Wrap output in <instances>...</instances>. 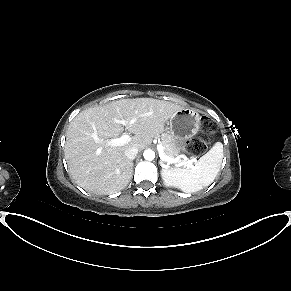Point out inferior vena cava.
Returning a JSON list of instances; mask_svg holds the SVG:
<instances>
[{"label": "inferior vena cava", "mask_w": 291, "mask_h": 291, "mask_svg": "<svg viewBox=\"0 0 291 291\" xmlns=\"http://www.w3.org/2000/svg\"><path fill=\"white\" fill-rule=\"evenodd\" d=\"M138 153V148L137 147H129L125 150V156L129 159V160H133L135 159V157L137 156Z\"/></svg>", "instance_id": "1"}]
</instances>
